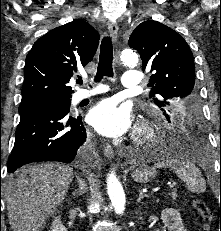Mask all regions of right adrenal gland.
Wrapping results in <instances>:
<instances>
[{
    "instance_id": "right-adrenal-gland-1",
    "label": "right adrenal gland",
    "mask_w": 221,
    "mask_h": 231,
    "mask_svg": "<svg viewBox=\"0 0 221 231\" xmlns=\"http://www.w3.org/2000/svg\"><path fill=\"white\" fill-rule=\"evenodd\" d=\"M77 184H78V189H76L73 192V195L76 197L82 196L87 192V184L85 182V180H83L81 177L79 176H75Z\"/></svg>"
}]
</instances>
